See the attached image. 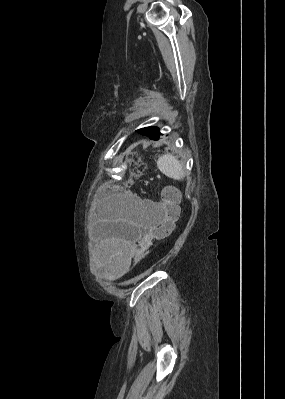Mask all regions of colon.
Segmentation results:
<instances>
[{"mask_svg":"<svg viewBox=\"0 0 285 399\" xmlns=\"http://www.w3.org/2000/svg\"><path fill=\"white\" fill-rule=\"evenodd\" d=\"M163 198L164 203L158 209L164 214V220L151 236L146 237L135 246L137 257L145 256L152 248L154 240L167 237L174 229L179 216L178 196L172 190H165Z\"/></svg>","mask_w":285,"mask_h":399,"instance_id":"obj_1","label":"colon"}]
</instances>
